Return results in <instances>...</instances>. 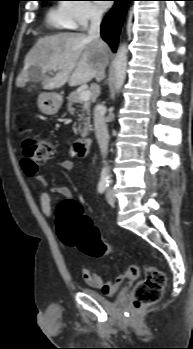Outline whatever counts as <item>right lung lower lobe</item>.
I'll return each mask as SVG.
<instances>
[{"label":"right lung lower lobe","instance_id":"98d812e1","mask_svg":"<svg viewBox=\"0 0 193 349\" xmlns=\"http://www.w3.org/2000/svg\"><path fill=\"white\" fill-rule=\"evenodd\" d=\"M115 4L101 24L102 38L111 46L115 52L118 44L119 31L128 8L129 1L114 0Z\"/></svg>","mask_w":193,"mask_h":349}]
</instances>
